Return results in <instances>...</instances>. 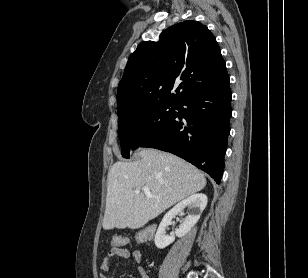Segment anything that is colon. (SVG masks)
Returning <instances> with one entry per match:
<instances>
[{
	"instance_id": "obj_1",
	"label": "colon",
	"mask_w": 308,
	"mask_h": 278,
	"mask_svg": "<svg viewBox=\"0 0 308 278\" xmlns=\"http://www.w3.org/2000/svg\"><path fill=\"white\" fill-rule=\"evenodd\" d=\"M157 232L156 226H145L144 230H139V235L134 236L135 242H154V237ZM111 244L114 247H123L128 244V239L124 236L116 235L111 239Z\"/></svg>"
}]
</instances>
